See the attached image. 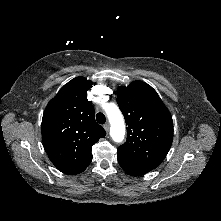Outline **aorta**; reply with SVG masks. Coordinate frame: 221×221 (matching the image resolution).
I'll list each match as a JSON object with an SVG mask.
<instances>
[{"label": "aorta", "mask_w": 221, "mask_h": 221, "mask_svg": "<svg viewBox=\"0 0 221 221\" xmlns=\"http://www.w3.org/2000/svg\"><path fill=\"white\" fill-rule=\"evenodd\" d=\"M111 124L110 135L115 142H122L125 136V122L120 110L113 106L106 110Z\"/></svg>", "instance_id": "762f6f07"}]
</instances>
